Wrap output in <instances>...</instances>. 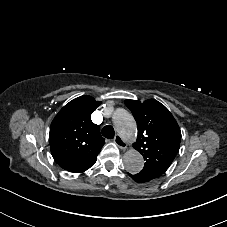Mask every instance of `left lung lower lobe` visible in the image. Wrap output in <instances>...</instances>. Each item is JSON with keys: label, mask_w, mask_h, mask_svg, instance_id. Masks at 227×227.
Listing matches in <instances>:
<instances>
[{"label": "left lung lower lobe", "mask_w": 227, "mask_h": 227, "mask_svg": "<svg viewBox=\"0 0 227 227\" xmlns=\"http://www.w3.org/2000/svg\"><path fill=\"white\" fill-rule=\"evenodd\" d=\"M129 174V173H128ZM129 176L136 182L141 183V182H148L150 181V179L143 177V176H139V175H131L129 174Z\"/></svg>", "instance_id": "1"}]
</instances>
